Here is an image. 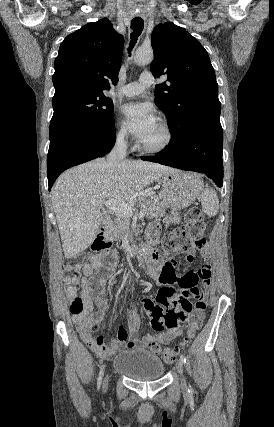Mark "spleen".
<instances>
[{
	"label": "spleen",
	"mask_w": 274,
	"mask_h": 427,
	"mask_svg": "<svg viewBox=\"0 0 274 427\" xmlns=\"http://www.w3.org/2000/svg\"><path fill=\"white\" fill-rule=\"evenodd\" d=\"M195 186V196H198L202 190V180H195ZM200 198L204 214L210 215V217H212V215L218 214L219 200L216 192H214L212 188H206V190H203V192L200 194Z\"/></svg>",
	"instance_id": "1"
}]
</instances>
